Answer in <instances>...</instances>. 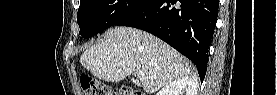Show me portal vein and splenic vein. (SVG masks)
<instances>
[{"instance_id": "obj_1", "label": "portal vein and splenic vein", "mask_w": 277, "mask_h": 95, "mask_svg": "<svg viewBox=\"0 0 277 95\" xmlns=\"http://www.w3.org/2000/svg\"><path fill=\"white\" fill-rule=\"evenodd\" d=\"M137 76H138V78H143L144 74L142 72H137Z\"/></svg>"}]
</instances>
